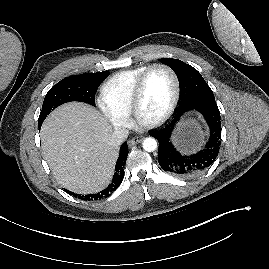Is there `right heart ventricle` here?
Listing matches in <instances>:
<instances>
[{
    "label": "right heart ventricle",
    "mask_w": 269,
    "mask_h": 269,
    "mask_svg": "<svg viewBox=\"0 0 269 269\" xmlns=\"http://www.w3.org/2000/svg\"><path fill=\"white\" fill-rule=\"evenodd\" d=\"M148 66H138L112 75L102 86L103 103L115 112L129 115L135 84Z\"/></svg>",
    "instance_id": "1"
}]
</instances>
